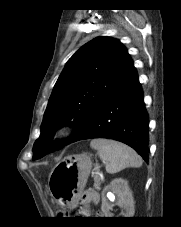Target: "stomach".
Segmentation results:
<instances>
[{
    "instance_id": "stomach-1",
    "label": "stomach",
    "mask_w": 181,
    "mask_h": 227,
    "mask_svg": "<svg viewBox=\"0 0 181 227\" xmlns=\"http://www.w3.org/2000/svg\"><path fill=\"white\" fill-rule=\"evenodd\" d=\"M92 165L91 157L82 153L64 158L52 169L48 189L60 206L71 209L76 205Z\"/></svg>"
}]
</instances>
